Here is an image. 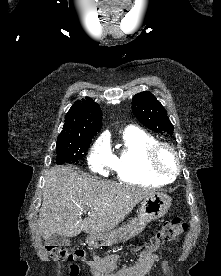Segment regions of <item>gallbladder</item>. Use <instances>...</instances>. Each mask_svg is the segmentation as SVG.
<instances>
[{"instance_id": "1", "label": "gallbladder", "mask_w": 221, "mask_h": 276, "mask_svg": "<svg viewBox=\"0 0 221 276\" xmlns=\"http://www.w3.org/2000/svg\"><path fill=\"white\" fill-rule=\"evenodd\" d=\"M46 244L51 245V246H57V247H62V246H68L70 244V239L67 237L60 235V234H52L46 239Z\"/></svg>"}]
</instances>
